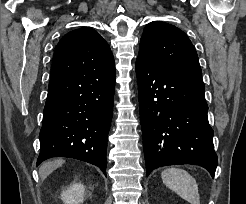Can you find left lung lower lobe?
Listing matches in <instances>:
<instances>
[{"instance_id": "obj_1", "label": "left lung lower lobe", "mask_w": 246, "mask_h": 204, "mask_svg": "<svg viewBox=\"0 0 246 204\" xmlns=\"http://www.w3.org/2000/svg\"><path fill=\"white\" fill-rule=\"evenodd\" d=\"M146 176L176 164L204 167L214 177L217 155L202 78L136 61Z\"/></svg>"}]
</instances>
